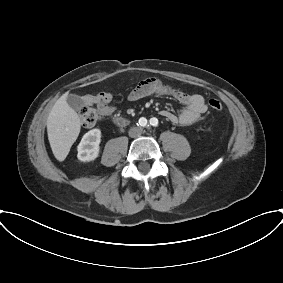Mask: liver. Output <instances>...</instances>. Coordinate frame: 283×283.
Listing matches in <instances>:
<instances>
[{"instance_id":"1","label":"liver","mask_w":283,"mask_h":283,"mask_svg":"<svg viewBox=\"0 0 283 283\" xmlns=\"http://www.w3.org/2000/svg\"><path fill=\"white\" fill-rule=\"evenodd\" d=\"M66 98L64 94L56 101L47 118L48 140L58 161L65 160L81 129L80 118Z\"/></svg>"}]
</instances>
